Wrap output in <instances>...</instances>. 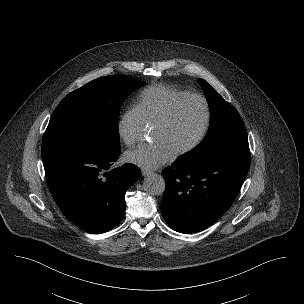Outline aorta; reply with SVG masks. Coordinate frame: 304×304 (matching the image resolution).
Wrapping results in <instances>:
<instances>
[{"mask_svg": "<svg viewBox=\"0 0 304 304\" xmlns=\"http://www.w3.org/2000/svg\"><path fill=\"white\" fill-rule=\"evenodd\" d=\"M143 186L147 193L158 196L165 191V180L159 174H151L144 179Z\"/></svg>", "mask_w": 304, "mask_h": 304, "instance_id": "obj_1", "label": "aorta"}]
</instances>
